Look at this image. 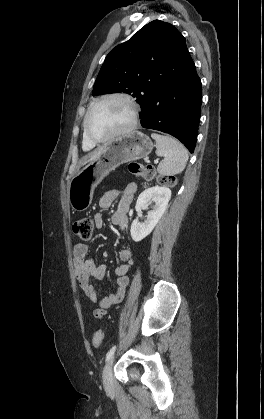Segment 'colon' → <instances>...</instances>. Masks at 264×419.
<instances>
[{
  "mask_svg": "<svg viewBox=\"0 0 264 419\" xmlns=\"http://www.w3.org/2000/svg\"><path fill=\"white\" fill-rule=\"evenodd\" d=\"M129 171L139 177L146 180H152L156 177V171L153 166L145 165L138 162H132L129 164ZM157 180L162 185L173 186L176 183L175 177L171 176H158ZM94 228V222L89 217L81 218L74 222L72 230L74 235L80 240L87 241L91 238ZM103 341V332L97 330L92 338V344L95 348H99Z\"/></svg>",
  "mask_w": 264,
  "mask_h": 419,
  "instance_id": "1",
  "label": "colon"
}]
</instances>
